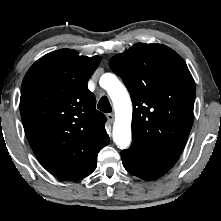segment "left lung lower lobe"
<instances>
[{"mask_svg": "<svg viewBox=\"0 0 221 221\" xmlns=\"http://www.w3.org/2000/svg\"><path fill=\"white\" fill-rule=\"evenodd\" d=\"M121 157L125 169L144 180H154L163 176L179 159L177 155L155 152L135 141L129 149L121 152Z\"/></svg>", "mask_w": 221, "mask_h": 221, "instance_id": "0a47b994", "label": "left lung lower lobe"}]
</instances>
